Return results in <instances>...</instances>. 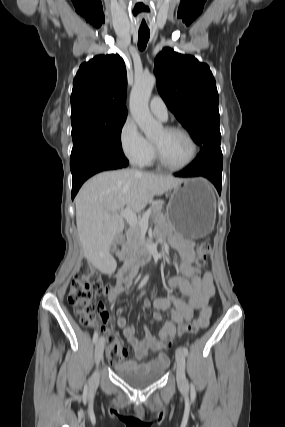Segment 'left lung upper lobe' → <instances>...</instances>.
Returning a JSON list of instances; mask_svg holds the SVG:
<instances>
[{
  "instance_id": "1",
  "label": "left lung upper lobe",
  "mask_w": 285,
  "mask_h": 427,
  "mask_svg": "<svg viewBox=\"0 0 285 427\" xmlns=\"http://www.w3.org/2000/svg\"><path fill=\"white\" fill-rule=\"evenodd\" d=\"M158 91L201 151L221 150L219 97L207 64L164 48L156 57Z\"/></svg>"
}]
</instances>
